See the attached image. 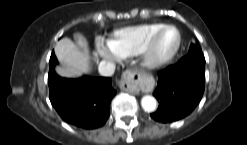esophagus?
<instances>
[{"label": "esophagus", "instance_id": "obj_1", "mask_svg": "<svg viewBox=\"0 0 247 145\" xmlns=\"http://www.w3.org/2000/svg\"><path fill=\"white\" fill-rule=\"evenodd\" d=\"M139 80V75L131 71H125L119 84L120 89L130 94L138 95L140 92L138 86Z\"/></svg>", "mask_w": 247, "mask_h": 145}]
</instances>
